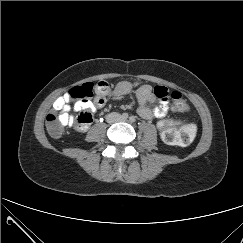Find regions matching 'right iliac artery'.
Listing matches in <instances>:
<instances>
[{
	"instance_id": "82829eb1",
	"label": "right iliac artery",
	"mask_w": 243,
	"mask_h": 243,
	"mask_svg": "<svg viewBox=\"0 0 243 243\" xmlns=\"http://www.w3.org/2000/svg\"><path fill=\"white\" fill-rule=\"evenodd\" d=\"M122 118H123V119H127V118H128V114H127V113H123V114H122Z\"/></svg>"
}]
</instances>
